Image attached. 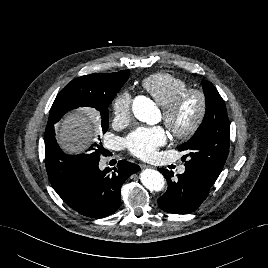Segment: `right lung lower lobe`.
I'll return each mask as SVG.
<instances>
[{"instance_id":"obj_1","label":"right lung lower lobe","mask_w":268,"mask_h":268,"mask_svg":"<svg viewBox=\"0 0 268 268\" xmlns=\"http://www.w3.org/2000/svg\"><path fill=\"white\" fill-rule=\"evenodd\" d=\"M99 159L89 165L60 197L78 213L100 218L114 213L120 206V190L122 184L140 167L121 160L117 167L101 171Z\"/></svg>"}]
</instances>
